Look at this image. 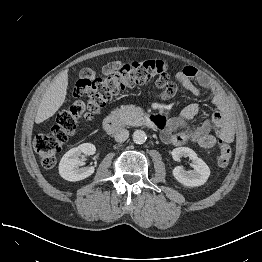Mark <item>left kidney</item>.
<instances>
[{"label": "left kidney", "mask_w": 262, "mask_h": 262, "mask_svg": "<svg viewBox=\"0 0 262 262\" xmlns=\"http://www.w3.org/2000/svg\"><path fill=\"white\" fill-rule=\"evenodd\" d=\"M172 157L175 161H180L182 157H189L192 160L194 170L186 171L182 166H176L173 169L174 178L184 186L195 187L203 185L210 176L208 165L197 156V154L188 147H179L173 149Z\"/></svg>", "instance_id": "obj_1"}]
</instances>
